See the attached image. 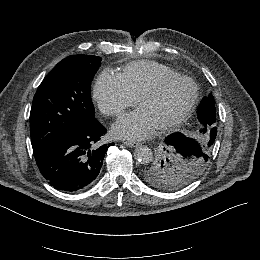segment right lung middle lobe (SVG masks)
Here are the masks:
<instances>
[{
  "mask_svg": "<svg viewBox=\"0 0 260 260\" xmlns=\"http://www.w3.org/2000/svg\"><path fill=\"white\" fill-rule=\"evenodd\" d=\"M100 65L101 57L72 55L44 78L30 112L34 152L80 133L95 121L90 87Z\"/></svg>",
  "mask_w": 260,
  "mask_h": 260,
  "instance_id": "obj_1",
  "label": "right lung middle lobe"
}]
</instances>
